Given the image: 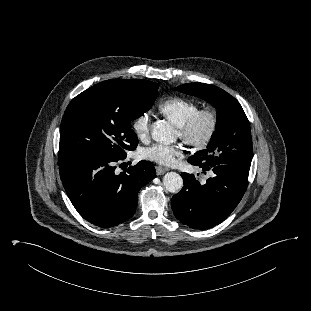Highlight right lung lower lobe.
<instances>
[{
  "label": "right lung lower lobe",
  "instance_id": "right-lung-lower-lobe-1",
  "mask_svg": "<svg viewBox=\"0 0 311 311\" xmlns=\"http://www.w3.org/2000/svg\"><path fill=\"white\" fill-rule=\"evenodd\" d=\"M123 159L59 158L60 177L70 201L84 219L96 226L113 227L131 218L137 208L138 191L155 178L154 165L149 161H140L117 174L114 165Z\"/></svg>",
  "mask_w": 311,
  "mask_h": 311
}]
</instances>
